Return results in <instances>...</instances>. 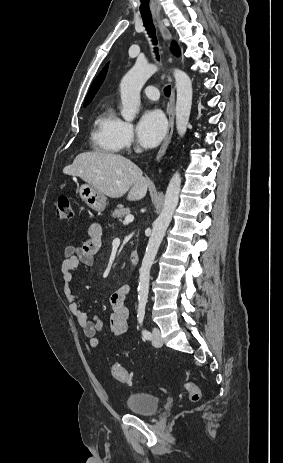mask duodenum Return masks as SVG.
<instances>
[{
    "instance_id": "1",
    "label": "duodenum",
    "mask_w": 283,
    "mask_h": 463,
    "mask_svg": "<svg viewBox=\"0 0 283 463\" xmlns=\"http://www.w3.org/2000/svg\"><path fill=\"white\" fill-rule=\"evenodd\" d=\"M139 262V255L136 251L132 252L130 255V263L131 265H137Z\"/></svg>"
}]
</instances>
